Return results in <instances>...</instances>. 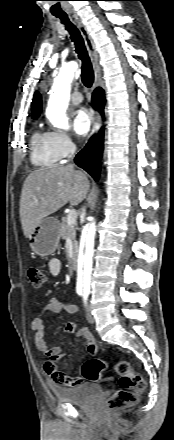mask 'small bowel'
I'll list each match as a JSON object with an SVG mask.
<instances>
[{"mask_svg": "<svg viewBox=\"0 0 174 440\" xmlns=\"http://www.w3.org/2000/svg\"><path fill=\"white\" fill-rule=\"evenodd\" d=\"M48 271L51 276H57L61 271V262L53 258L49 261ZM63 308L69 311L75 312L76 308L73 304L64 302L58 298L50 299L46 304L38 308L39 313H59ZM32 329L35 333V345L37 349L45 356L50 357L53 360H60L64 358V353L61 347H49L44 338L45 324L40 317H35L32 321ZM76 331V335L83 338L85 341L86 351L89 356H93L98 352V344L91 331L82 327L77 329V325L69 323L65 327V332L71 334ZM45 372L49 377L57 384L66 387H73L82 383L80 377H69L62 371L56 368L53 361H46L44 365Z\"/></svg>", "mask_w": 174, "mask_h": 440, "instance_id": "obj_1", "label": "small bowel"}]
</instances>
